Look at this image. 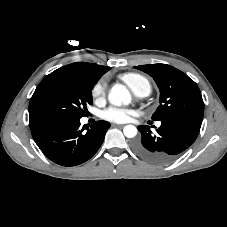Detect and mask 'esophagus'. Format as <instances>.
Masks as SVG:
<instances>
[{"label":"esophagus","instance_id":"obj_1","mask_svg":"<svg viewBox=\"0 0 227 227\" xmlns=\"http://www.w3.org/2000/svg\"><path fill=\"white\" fill-rule=\"evenodd\" d=\"M114 127H123L124 125L122 124H113Z\"/></svg>","mask_w":227,"mask_h":227}]
</instances>
